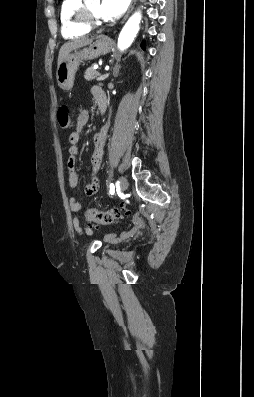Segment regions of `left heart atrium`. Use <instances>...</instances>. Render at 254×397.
Here are the masks:
<instances>
[{"label":"left heart atrium","mask_w":254,"mask_h":397,"mask_svg":"<svg viewBox=\"0 0 254 397\" xmlns=\"http://www.w3.org/2000/svg\"><path fill=\"white\" fill-rule=\"evenodd\" d=\"M130 0H102L100 14L106 20L120 17L128 7Z\"/></svg>","instance_id":"39dd6f15"}]
</instances>
